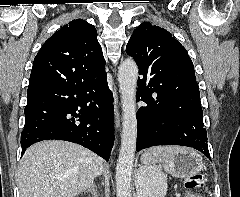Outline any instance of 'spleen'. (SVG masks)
I'll use <instances>...</instances> for the list:
<instances>
[{
	"instance_id": "3e777b00",
	"label": "spleen",
	"mask_w": 240,
	"mask_h": 197,
	"mask_svg": "<svg viewBox=\"0 0 240 197\" xmlns=\"http://www.w3.org/2000/svg\"><path fill=\"white\" fill-rule=\"evenodd\" d=\"M179 147H153L148 150L160 160H169L171 153L179 151ZM144 178V188L141 197H164L167 191V179L159 166H149L139 173Z\"/></svg>"
}]
</instances>
